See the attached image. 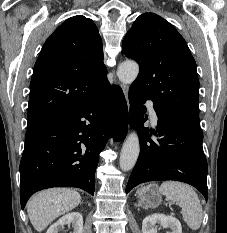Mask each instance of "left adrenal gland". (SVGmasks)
Returning a JSON list of instances; mask_svg holds the SVG:
<instances>
[{
	"mask_svg": "<svg viewBox=\"0 0 227 233\" xmlns=\"http://www.w3.org/2000/svg\"><path fill=\"white\" fill-rule=\"evenodd\" d=\"M141 204H138L137 206L140 207Z\"/></svg>",
	"mask_w": 227,
	"mask_h": 233,
	"instance_id": "a2214340",
	"label": "left adrenal gland"
}]
</instances>
